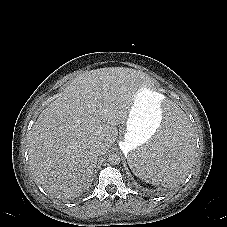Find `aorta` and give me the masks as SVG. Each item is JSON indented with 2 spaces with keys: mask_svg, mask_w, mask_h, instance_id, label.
I'll return each instance as SVG.
<instances>
[{
  "mask_svg": "<svg viewBox=\"0 0 227 227\" xmlns=\"http://www.w3.org/2000/svg\"><path fill=\"white\" fill-rule=\"evenodd\" d=\"M108 162L111 165H117L120 163V156L117 153H111L108 157Z\"/></svg>",
  "mask_w": 227,
  "mask_h": 227,
  "instance_id": "1",
  "label": "aorta"
}]
</instances>
